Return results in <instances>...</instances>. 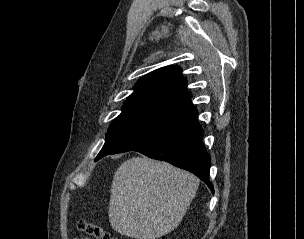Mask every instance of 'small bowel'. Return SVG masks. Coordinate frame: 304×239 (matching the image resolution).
<instances>
[{
	"mask_svg": "<svg viewBox=\"0 0 304 239\" xmlns=\"http://www.w3.org/2000/svg\"><path fill=\"white\" fill-rule=\"evenodd\" d=\"M74 239H88V238L85 237V238H74Z\"/></svg>",
	"mask_w": 304,
	"mask_h": 239,
	"instance_id": "1",
	"label": "small bowel"
}]
</instances>
